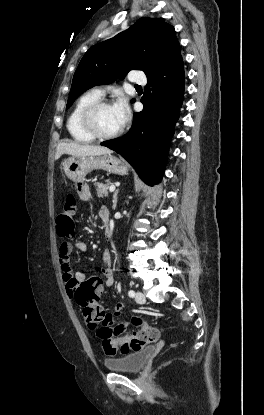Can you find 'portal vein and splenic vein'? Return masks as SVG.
Segmentation results:
<instances>
[{"mask_svg":"<svg viewBox=\"0 0 264 415\" xmlns=\"http://www.w3.org/2000/svg\"><path fill=\"white\" fill-rule=\"evenodd\" d=\"M115 190V186L114 185H111L110 187H109V191L110 192H113Z\"/></svg>","mask_w":264,"mask_h":415,"instance_id":"obj_1","label":"portal vein and splenic vein"}]
</instances>
